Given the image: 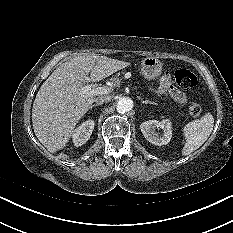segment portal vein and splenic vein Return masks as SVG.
<instances>
[{"label": "portal vein and splenic vein", "instance_id": "1", "mask_svg": "<svg viewBox=\"0 0 233 233\" xmlns=\"http://www.w3.org/2000/svg\"><path fill=\"white\" fill-rule=\"evenodd\" d=\"M111 87L102 86V87H93L92 85H85L81 88V93L89 96L109 94L111 92Z\"/></svg>", "mask_w": 233, "mask_h": 233}]
</instances>
